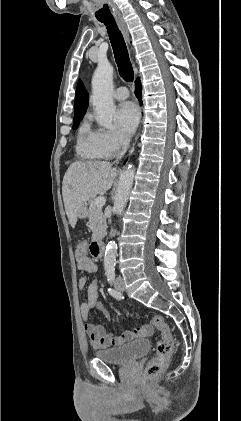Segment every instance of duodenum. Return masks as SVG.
<instances>
[{"label": "duodenum", "mask_w": 241, "mask_h": 421, "mask_svg": "<svg viewBox=\"0 0 241 421\" xmlns=\"http://www.w3.org/2000/svg\"><path fill=\"white\" fill-rule=\"evenodd\" d=\"M91 253L95 257H101L104 254L105 243L101 238L95 239L91 244Z\"/></svg>", "instance_id": "obj_1"}]
</instances>
